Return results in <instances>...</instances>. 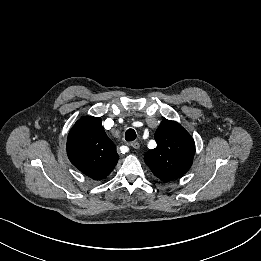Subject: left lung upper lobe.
<instances>
[{
  "label": "left lung upper lobe",
  "instance_id": "5c2ea615",
  "mask_svg": "<svg viewBox=\"0 0 261 261\" xmlns=\"http://www.w3.org/2000/svg\"><path fill=\"white\" fill-rule=\"evenodd\" d=\"M157 147L144 156L155 176L165 182L184 175L192 165L195 143L177 122L164 119L155 133Z\"/></svg>",
  "mask_w": 261,
  "mask_h": 261
}]
</instances>
